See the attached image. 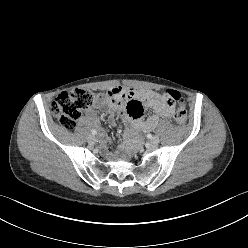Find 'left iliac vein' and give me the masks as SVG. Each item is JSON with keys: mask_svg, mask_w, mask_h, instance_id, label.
<instances>
[{"mask_svg": "<svg viewBox=\"0 0 248 248\" xmlns=\"http://www.w3.org/2000/svg\"><path fill=\"white\" fill-rule=\"evenodd\" d=\"M159 143V138L157 136H154L150 139V145L151 146H157Z\"/></svg>", "mask_w": 248, "mask_h": 248, "instance_id": "4c4485c4", "label": "left iliac vein"}]
</instances>
